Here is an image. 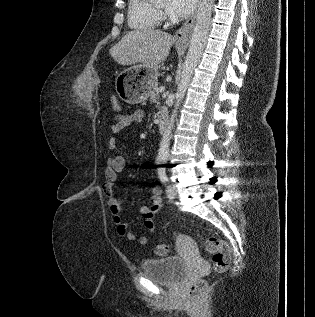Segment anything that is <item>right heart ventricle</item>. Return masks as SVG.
<instances>
[{
	"mask_svg": "<svg viewBox=\"0 0 315 317\" xmlns=\"http://www.w3.org/2000/svg\"><path fill=\"white\" fill-rule=\"evenodd\" d=\"M128 25L135 30H148L160 23V12L150 0H128Z\"/></svg>",
	"mask_w": 315,
	"mask_h": 317,
	"instance_id": "right-heart-ventricle-1",
	"label": "right heart ventricle"
}]
</instances>
